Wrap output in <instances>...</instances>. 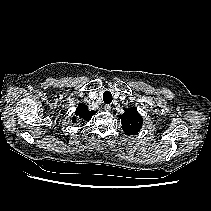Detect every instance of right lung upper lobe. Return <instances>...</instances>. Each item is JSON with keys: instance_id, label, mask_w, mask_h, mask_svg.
Instances as JSON below:
<instances>
[{"instance_id": "obj_1", "label": "right lung upper lobe", "mask_w": 211, "mask_h": 211, "mask_svg": "<svg viewBox=\"0 0 211 211\" xmlns=\"http://www.w3.org/2000/svg\"><path fill=\"white\" fill-rule=\"evenodd\" d=\"M95 113L96 112L93 110H88L87 105L79 104L72 121L73 123H76L77 119H81L82 121H89Z\"/></svg>"}]
</instances>
